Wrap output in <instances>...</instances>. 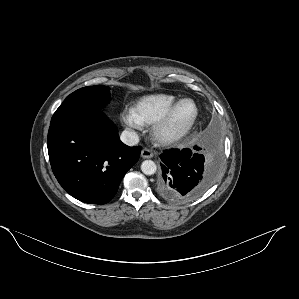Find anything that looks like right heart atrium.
Listing matches in <instances>:
<instances>
[{"label": "right heart atrium", "instance_id": "1", "mask_svg": "<svg viewBox=\"0 0 299 299\" xmlns=\"http://www.w3.org/2000/svg\"><path fill=\"white\" fill-rule=\"evenodd\" d=\"M122 122L130 129L140 130L143 127L142 122L136 117L133 109H126L121 114Z\"/></svg>", "mask_w": 299, "mask_h": 299}]
</instances>
